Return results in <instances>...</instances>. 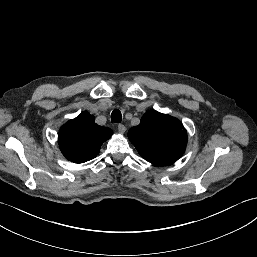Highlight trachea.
<instances>
[{
  "label": "trachea",
  "mask_w": 257,
  "mask_h": 257,
  "mask_svg": "<svg viewBox=\"0 0 257 257\" xmlns=\"http://www.w3.org/2000/svg\"><path fill=\"white\" fill-rule=\"evenodd\" d=\"M111 120H112V122L120 123L122 120L121 112L117 109L114 110L111 114Z\"/></svg>",
  "instance_id": "1"
}]
</instances>
